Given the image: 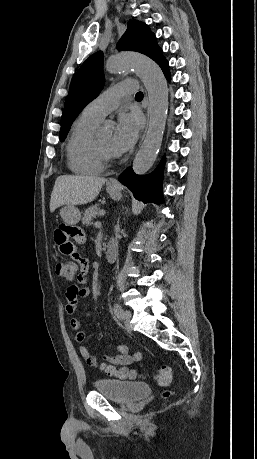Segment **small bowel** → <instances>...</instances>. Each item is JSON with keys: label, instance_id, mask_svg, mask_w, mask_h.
<instances>
[{"label": "small bowel", "instance_id": "obj_1", "mask_svg": "<svg viewBox=\"0 0 257 459\" xmlns=\"http://www.w3.org/2000/svg\"><path fill=\"white\" fill-rule=\"evenodd\" d=\"M85 234L84 227H75L74 223H57L54 231L53 242L56 248H59L61 258H66L68 264H80V275L78 277V285H71L66 290V313L70 316V326L76 332L75 339L78 342H83L86 335L82 330L81 320L75 317V313L82 299H87L90 296V289L85 285L88 272V256L77 244H87L88 237ZM118 355L104 356L105 360L117 365H128L141 360L142 354L136 352L131 354L130 349L125 345L116 346ZM80 354L85 362L92 367H97L99 361L91 354L85 346H80Z\"/></svg>", "mask_w": 257, "mask_h": 459}]
</instances>
